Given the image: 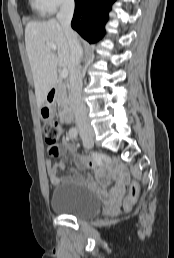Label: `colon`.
<instances>
[{
  "instance_id": "colon-1",
  "label": "colon",
  "mask_w": 174,
  "mask_h": 258,
  "mask_svg": "<svg viewBox=\"0 0 174 258\" xmlns=\"http://www.w3.org/2000/svg\"><path fill=\"white\" fill-rule=\"evenodd\" d=\"M64 132V126L59 121H47L43 125V133L46 143L51 147L50 154L58 156L57 144ZM139 193V185L136 181L132 182L127 198L122 203V209L128 211L135 203Z\"/></svg>"
}]
</instances>
